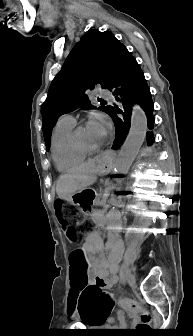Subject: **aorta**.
Returning <instances> with one entry per match:
<instances>
[{"label":"aorta","instance_id":"obj_1","mask_svg":"<svg viewBox=\"0 0 193 336\" xmlns=\"http://www.w3.org/2000/svg\"><path fill=\"white\" fill-rule=\"evenodd\" d=\"M147 132V117L144 110L134 104L132 107L131 126L128 136L123 143L118 161L115 166L117 174H126L142 146Z\"/></svg>","mask_w":193,"mask_h":336}]
</instances>
